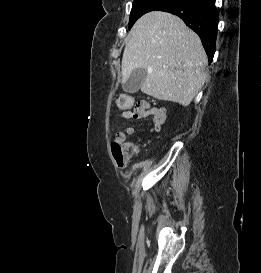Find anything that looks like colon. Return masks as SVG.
I'll return each mask as SVG.
<instances>
[{"mask_svg": "<svg viewBox=\"0 0 261 273\" xmlns=\"http://www.w3.org/2000/svg\"><path fill=\"white\" fill-rule=\"evenodd\" d=\"M116 104L121 109H130L133 112V118L139 119L144 115V103L136 102L130 95H121L116 99ZM132 144L124 142V136L117 134L111 143V152L117 166L123 167L126 165L128 158L133 149Z\"/></svg>", "mask_w": 261, "mask_h": 273, "instance_id": "5ec220e1", "label": "colon"}]
</instances>
